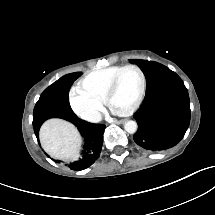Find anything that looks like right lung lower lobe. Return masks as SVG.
Wrapping results in <instances>:
<instances>
[{
	"label": "right lung lower lobe",
	"instance_id": "right-lung-lower-lobe-1",
	"mask_svg": "<svg viewBox=\"0 0 215 215\" xmlns=\"http://www.w3.org/2000/svg\"><path fill=\"white\" fill-rule=\"evenodd\" d=\"M53 117L68 120L71 123H73L74 125H76L85 140L83 150L81 153V157L78 160H76L70 164V169L79 171V170H83V169H86L89 166H91L98 159V157L100 155L102 143H103V133L105 130V126L88 123L84 120L77 118V116L68 117V116H64V115H56V116H52V117H43V118H40L39 120L33 122L34 132H35V135L37 137L39 144H40L39 129H40L42 123L45 120H47L49 118H53Z\"/></svg>",
	"mask_w": 215,
	"mask_h": 215
}]
</instances>
